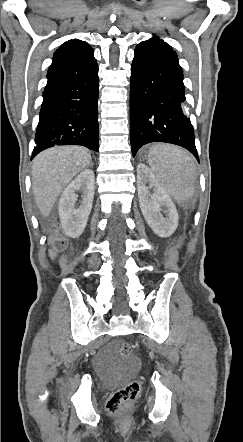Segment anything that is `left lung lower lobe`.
I'll return each instance as SVG.
<instances>
[{
	"label": "left lung lower lobe",
	"instance_id": "obj_1",
	"mask_svg": "<svg viewBox=\"0 0 243 442\" xmlns=\"http://www.w3.org/2000/svg\"><path fill=\"white\" fill-rule=\"evenodd\" d=\"M184 101L183 71L175 51L157 37L139 43L130 78L133 156L147 143L166 142L186 148L199 161Z\"/></svg>",
	"mask_w": 243,
	"mask_h": 442
}]
</instances>
